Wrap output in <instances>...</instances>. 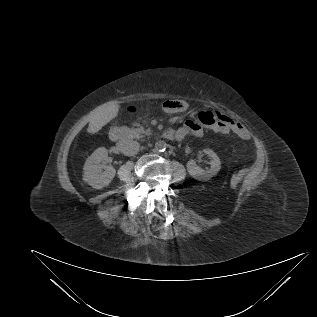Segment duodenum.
Returning a JSON list of instances; mask_svg holds the SVG:
<instances>
[{"instance_id":"1","label":"duodenum","mask_w":317,"mask_h":317,"mask_svg":"<svg viewBox=\"0 0 317 317\" xmlns=\"http://www.w3.org/2000/svg\"><path fill=\"white\" fill-rule=\"evenodd\" d=\"M133 136V132L122 126L114 127L110 131V139L114 142L130 139ZM165 139L174 140L176 135L173 130H167L163 133Z\"/></svg>"}]
</instances>
